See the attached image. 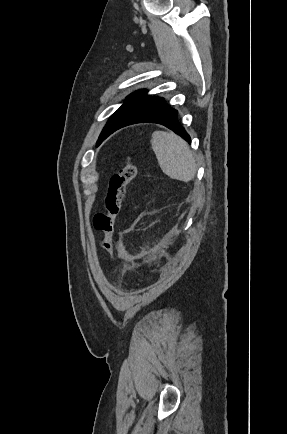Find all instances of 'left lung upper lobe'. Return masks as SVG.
Returning a JSON list of instances; mask_svg holds the SVG:
<instances>
[{"label": "left lung upper lobe", "instance_id": "1", "mask_svg": "<svg viewBox=\"0 0 287 434\" xmlns=\"http://www.w3.org/2000/svg\"><path fill=\"white\" fill-rule=\"evenodd\" d=\"M161 100H163V98L147 96L146 90H139L130 94L126 98L124 104L115 113H113L108 120L99 136L97 145H99L110 134L116 131L128 118L142 109Z\"/></svg>", "mask_w": 287, "mask_h": 434}]
</instances>
